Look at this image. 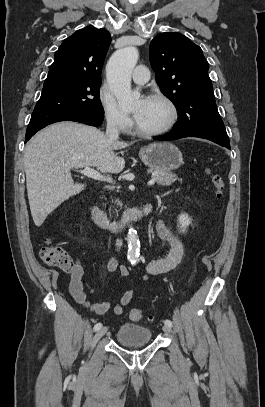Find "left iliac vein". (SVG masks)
<instances>
[{
  "instance_id": "obj_1",
  "label": "left iliac vein",
  "mask_w": 265,
  "mask_h": 407,
  "mask_svg": "<svg viewBox=\"0 0 265 407\" xmlns=\"http://www.w3.org/2000/svg\"><path fill=\"white\" fill-rule=\"evenodd\" d=\"M162 329H163V331H164L165 333H171V332H172L171 327L168 326V325H164V326L162 327Z\"/></svg>"
}]
</instances>
